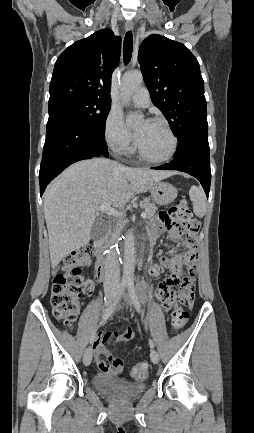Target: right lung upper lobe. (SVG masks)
<instances>
[{
    "label": "right lung upper lobe",
    "instance_id": "right-lung-upper-lobe-1",
    "mask_svg": "<svg viewBox=\"0 0 254 433\" xmlns=\"http://www.w3.org/2000/svg\"><path fill=\"white\" fill-rule=\"evenodd\" d=\"M120 49V37L110 30H99L69 46L55 63L49 105L71 98L111 103V76Z\"/></svg>",
    "mask_w": 254,
    "mask_h": 433
}]
</instances>
